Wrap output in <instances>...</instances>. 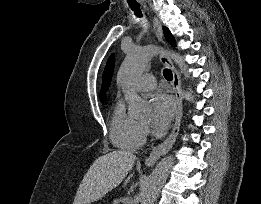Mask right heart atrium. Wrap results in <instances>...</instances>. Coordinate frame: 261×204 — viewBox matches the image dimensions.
Masks as SVG:
<instances>
[{
  "label": "right heart atrium",
  "instance_id": "obj_1",
  "mask_svg": "<svg viewBox=\"0 0 261 204\" xmlns=\"http://www.w3.org/2000/svg\"><path fill=\"white\" fill-rule=\"evenodd\" d=\"M149 132V128L146 125H143V134L145 137L148 136Z\"/></svg>",
  "mask_w": 261,
  "mask_h": 204
}]
</instances>
